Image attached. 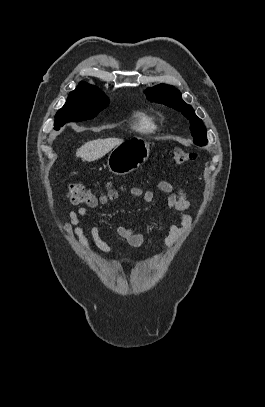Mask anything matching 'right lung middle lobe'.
Returning a JSON list of instances; mask_svg holds the SVG:
<instances>
[{"label":"right lung middle lobe","instance_id":"right-lung-middle-lobe-1","mask_svg":"<svg viewBox=\"0 0 265 407\" xmlns=\"http://www.w3.org/2000/svg\"><path fill=\"white\" fill-rule=\"evenodd\" d=\"M108 99L96 87L87 83L70 92L65 105L56 113L54 128L59 130L67 122L89 120L108 106Z\"/></svg>","mask_w":265,"mask_h":407}]
</instances>
